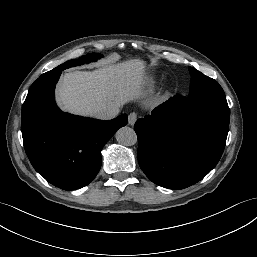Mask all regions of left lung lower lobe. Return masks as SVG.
I'll list each match as a JSON object with an SVG mask.
<instances>
[{
	"label": "left lung lower lobe",
	"instance_id": "left-lung-lower-lobe-1",
	"mask_svg": "<svg viewBox=\"0 0 257 257\" xmlns=\"http://www.w3.org/2000/svg\"><path fill=\"white\" fill-rule=\"evenodd\" d=\"M226 97L175 96L136 121L138 162L155 184L183 189L205 177L226 143Z\"/></svg>",
	"mask_w": 257,
	"mask_h": 257
}]
</instances>
